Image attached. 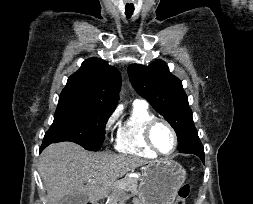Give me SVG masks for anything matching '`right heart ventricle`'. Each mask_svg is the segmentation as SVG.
Instances as JSON below:
<instances>
[{
  "label": "right heart ventricle",
  "mask_w": 253,
  "mask_h": 204,
  "mask_svg": "<svg viewBox=\"0 0 253 204\" xmlns=\"http://www.w3.org/2000/svg\"><path fill=\"white\" fill-rule=\"evenodd\" d=\"M155 118L147 106L133 104L131 114L119 124L116 137V149L122 153L152 159L157 156L144 140V128L147 122Z\"/></svg>",
  "instance_id": "1"
}]
</instances>
